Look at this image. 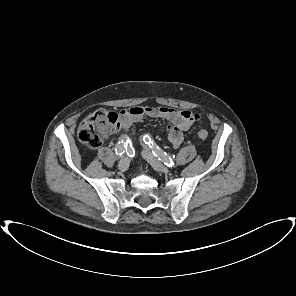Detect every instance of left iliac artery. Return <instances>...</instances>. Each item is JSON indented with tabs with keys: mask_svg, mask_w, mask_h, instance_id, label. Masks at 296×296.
Returning <instances> with one entry per match:
<instances>
[{
	"mask_svg": "<svg viewBox=\"0 0 296 296\" xmlns=\"http://www.w3.org/2000/svg\"><path fill=\"white\" fill-rule=\"evenodd\" d=\"M143 141L161 162H163L168 167L174 166V161L171 159V157H169L167 153L163 152L158 146H156L155 142L152 141L148 135H144Z\"/></svg>",
	"mask_w": 296,
	"mask_h": 296,
	"instance_id": "left-iliac-artery-1",
	"label": "left iliac artery"
}]
</instances>
